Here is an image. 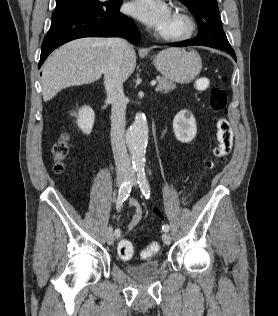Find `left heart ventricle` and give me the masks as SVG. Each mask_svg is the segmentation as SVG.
Returning a JSON list of instances; mask_svg holds the SVG:
<instances>
[{"mask_svg":"<svg viewBox=\"0 0 278 316\" xmlns=\"http://www.w3.org/2000/svg\"><path fill=\"white\" fill-rule=\"evenodd\" d=\"M179 27V22L171 15L169 18L167 19V21L165 22V24L162 26V30H166V31H173L176 30Z\"/></svg>","mask_w":278,"mask_h":316,"instance_id":"1","label":"left heart ventricle"}]
</instances>
